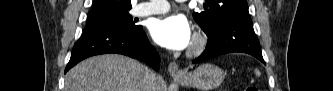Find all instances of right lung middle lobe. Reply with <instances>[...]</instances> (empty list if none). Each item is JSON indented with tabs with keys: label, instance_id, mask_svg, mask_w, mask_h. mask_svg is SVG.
<instances>
[{
	"label": "right lung middle lobe",
	"instance_id": "1",
	"mask_svg": "<svg viewBox=\"0 0 333 91\" xmlns=\"http://www.w3.org/2000/svg\"><path fill=\"white\" fill-rule=\"evenodd\" d=\"M135 22L136 21L132 19L128 11H126L112 16L89 19L86 26L117 27L134 30L142 29V26L135 24Z\"/></svg>",
	"mask_w": 333,
	"mask_h": 91
}]
</instances>
